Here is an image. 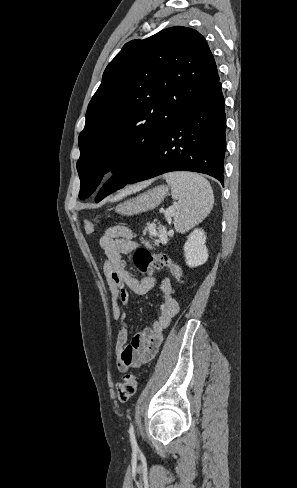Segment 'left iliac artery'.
I'll return each instance as SVG.
<instances>
[{"label": "left iliac artery", "mask_w": 297, "mask_h": 488, "mask_svg": "<svg viewBox=\"0 0 297 488\" xmlns=\"http://www.w3.org/2000/svg\"><path fill=\"white\" fill-rule=\"evenodd\" d=\"M129 434H130V442H131L132 449H133V451H137L138 445H137V441H136L135 433H134V428H133L132 424L130 425V428H129Z\"/></svg>", "instance_id": "44dca946"}]
</instances>
